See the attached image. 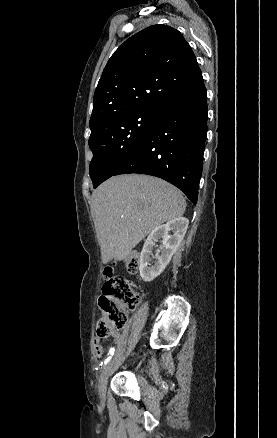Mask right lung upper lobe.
<instances>
[{
    "label": "right lung upper lobe",
    "mask_w": 277,
    "mask_h": 438,
    "mask_svg": "<svg viewBox=\"0 0 277 438\" xmlns=\"http://www.w3.org/2000/svg\"><path fill=\"white\" fill-rule=\"evenodd\" d=\"M167 64L170 69L165 71ZM201 78L196 57L178 30L147 27L109 59L95 90L90 126L113 116L159 109L172 94Z\"/></svg>",
    "instance_id": "obj_1"
}]
</instances>
